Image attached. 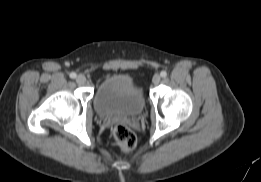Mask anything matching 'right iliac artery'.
<instances>
[{
  "label": "right iliac artery",
  "mask_w": 261,
  "mask_h": 182,
  "mask_svg": "<svg viewBox=\"0 0 261 182\" xmlns=\"http://www.w3.org/2000/svg\"><path fill=\"white\" fill-rule=\"evenodd\" d=\"M70 78H76V73H74V72H72V73H70Z\"/></svg>",
  "instance_id": "obj_1"
}]
</instances>
